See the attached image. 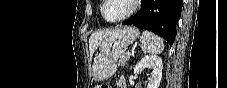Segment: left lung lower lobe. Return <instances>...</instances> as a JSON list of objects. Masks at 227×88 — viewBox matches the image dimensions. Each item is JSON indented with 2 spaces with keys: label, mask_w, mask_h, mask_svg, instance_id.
Listing matches in <instances>:
<instances>
[{
  "label": "left lung lower lobe",
  "mask_w": 227,
  "mask_h": 88,
  "mask_svg": "<svg viewBox=\"0 0 227 88\" xmlns=\"http://www.w3.org/2000/svg\"><path fill=\"white\" fill-rule=\"evenodd\" d=\"M182 5L183 0H142L139 12L123 24L152 31L165 38L172 46Z\"/></svg>",
  "instance_id": "left-lung-lower-lobe-1"
}]
</instances>
